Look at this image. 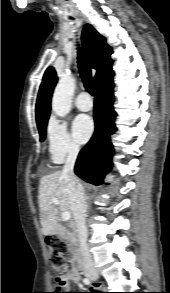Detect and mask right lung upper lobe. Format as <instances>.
Returning a JSON list of instances; mask_svg holds the SVG:
<instances>
[{
    "label": "right lung upper lobe",
    "instance_id": "obj_1",
    "mask_svg": "<svg viewBox=\"0 0 170 293\" xmlns=\"http://www.w3.org/2000/svg\"><path fill=\"white\" fill-rule=\"evenodd\" d=\"M82 41L85 54L92 68L97 70L95 84L98 85L108 76L114 75L111 69L113 60L110 58L112 49L106 44V39L90 24L84 26ZM56 83L57 76L54 68H47L43 76L36 103V121L38 129L47 125L50 114L51 96Z\"/></svg>",
    "mask_w": 170,
    "mask_h": 293
}]
</instances>
